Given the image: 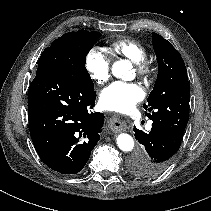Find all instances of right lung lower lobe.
I'll return each mask as SVG.
<instances>
[{"instance_id":"98d812e1","label":"right lung lower lobe","mask_w":211,"mask_h":211,"mask_svg":"<svg viewBox=\"0 0 211 211\" xmlns=\"http://www.w3.org/2000/svg\"><path fill=\"white\" fill-rule=\"evenodd\" d=\"M94 88L59 67L51 56L40 57L28 90V119L34 147L54 171L76 174L100 140L104 115L90 113Z\"/></svg>"}]
</instances>
